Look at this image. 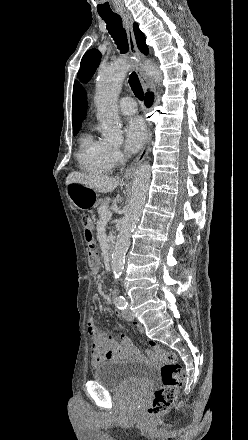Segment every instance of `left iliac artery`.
Here are the masks:
<instances>
[{
    "label": "left iliac artery",
    "instance_id": "44dca946",
    "mask_svg": "<svg viewBox=\"0 0 248 440\" xmlns=\"http://www.w3.org/2000/svg\"><path fill=\"white\" fill-rule=\"evenodd\" d=\"M114 303H115L116 307H117L118 309H121V310L126 309V307H127V305H128L126 299H125L123 296H121V295L115 297V299H114Z\"/></svg>",
    "mask_w": 248,
    "mask_h": 440
}]
</instances>
